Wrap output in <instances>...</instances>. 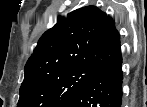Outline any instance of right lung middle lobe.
Returning a JSON list of instances; mask_svg holds the SVG:
<instances>
[{
  "instance_id": "dd1d6c3e",
  "label": "right lung middle lobe",
  "mask_w": 147,
  "mask_h": 107,
  "mask_svg": "<svg viewBox=\"0 0 147 107\" xmlns=\"http://www.w3.org/2000/svg\"><path fill=\"white\" fill-rule=\"evenodd\" d=\"M97 68L72 69L27 75L20 87L18 107H62L92 79Z\"/></svg>"
}]
</instances>
